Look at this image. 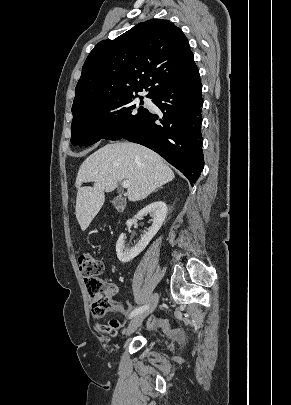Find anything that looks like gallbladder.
I'll use <instances>...</instances> for the list:
<instances>
[{
  "label": "gallbladder",
  "instance_id": "obj_1",
  "mask_svg": "<svg viewBox=\"0 0 291 405\" xmlns=\"http://www.w3.org/2000/svg\"><path fill=\"white\" fill-rule=\"evenodd\" d=\"M112 204L115 207V209H117L118 211H121L124 209V207L126 205V200L122 196H116L113 199Z\"/></svg>",
  "mask_w": 291,
  "mask_h": 405
}]
</instances>
